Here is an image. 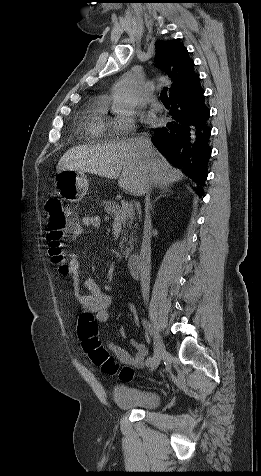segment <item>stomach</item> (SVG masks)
<instances>
[{"instance_id": "stomach-1", "label": "stomach", "mask_w": 261, "mask_h": 476, "mask_svg": "<svg viewBox=\"0 0 261 476\" xmlns=\"http://www.w3.org/2000/svg\"><path fill=\"white\" fill-rule=\"evenodd\" d=\"M55 184L61 195L71 202L82 199L89 186L84 173L75 170H62L57 172Z\"/></svg>"}]
</instances>
